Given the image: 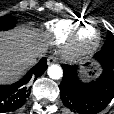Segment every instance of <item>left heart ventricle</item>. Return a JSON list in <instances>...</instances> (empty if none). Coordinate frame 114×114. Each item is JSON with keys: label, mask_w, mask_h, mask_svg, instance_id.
I'll return each mask as SVG.
<instances>
[{"label": "left heart ventricle", "mask_w": 114, "mask_h": 114, "mask_svg": "<svg viewBox=\"0 0 114 114\" xmlns=\"http://www.w3.org/2000/svg\"><path fill=\"white\" fill-rule=\"evenodd\" d=\"M95 36L94 28L91 25H85L80 31V38L82 41H91Z\"/></svg>", "instance_id": "b2bd125f"}]
</instances>
